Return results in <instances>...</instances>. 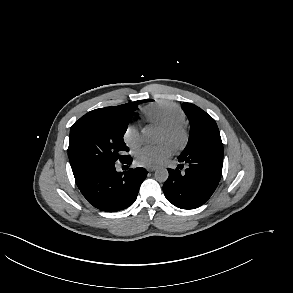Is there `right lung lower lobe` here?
I'll return each mask as SVG.
<instances>
[{"instance_id":"right-lung-lower-lobe-1","label":"right lung lower lobe","mask_w":293,"mask_h":293,"mask_svg":"<svg viewBox=\"0 0 293 293\" xmlns=\"http://www.w3.org/2000/svg\"><path fill=\"white\" fill-rule=\"evenodd\" d=\"M122 163L131 164L132 160L128 157ZM146 175V170L141 167L123 174L116 171L115 164H111L93 173L78 188L94 207L106 212H116L133 204Z\"/></svg>"}]
</instances>
